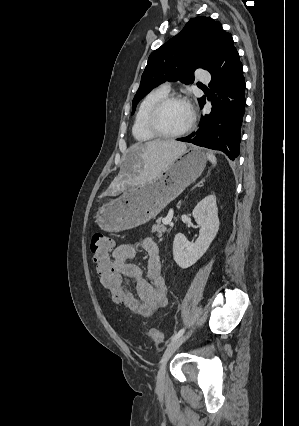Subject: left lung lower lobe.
<instances>
[{
    "instance_id": "0a47b994",
    "label": "left lung lower lobe",
    "mask_w": 299,
    "mask_h": 426,
    "mask_svg": "<svg viewBox=\"0 0 299 426\" xmlns=\"http://www.w3.org/2000/svg\"><path fill=\"white\" fill-rule=\"evenodd\" d=\"M237 50L229 52L210 71L212 103L209 115L201 117L200 129L178 141L224 152L231 160L239 155L241 125L245 113V80ZM206 103L205 97L200 105Z\"/></svg>"
}]
</instances>
